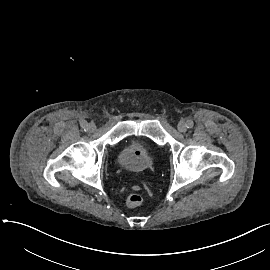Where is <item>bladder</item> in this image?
Segmentation results:
<instances>
[{
  "label": "bladder",
  "mask_w": 270,
  "mask_h": 270,
  "mask_svg": "<svg viewBox=\"0 0 270 270\" xmlns=\"http://www.w3.org/2000/svg\"><path fill=\"white\" fill-rule=\"evenodd\" d=\"M155 153L156 150L150 139L132 138L124 143L119 162L130 172H142L148 168Z\"/></svg>",
  "instance_id": "bladder-1"
}]
</instances>
